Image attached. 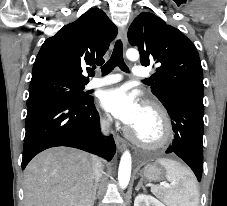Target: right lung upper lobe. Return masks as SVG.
<instances>
[{"instance_id": "right-lung-upper-lobe-1", "label": "right lung upper lobe", "mask_w": 227, "mask_h": 206, "mask_svg": "<svg viewBox=\"0 0 227 206\" xmlns=\"http://www.w3.org/2000/svg\"><path fill=\"white\" fill-rule=\"evenodd\" d=\"M117 35V27L98 8L84 13L75 22L65 25L43 43L33 65L31 83L57 79L87 84L91 65H102L103 56Z\"/></svg>"}]
</instances>
